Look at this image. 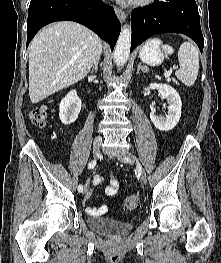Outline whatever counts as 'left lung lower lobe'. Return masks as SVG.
Wrapping results in <instances>:
<instances>
[{
    "instance_id": "left-lung-lower-lobe-1",
    "label": "left lung lower lobe",
    "mask_w": 221,
    "mask_h": 263,
    "mask_svg": "<svg viewBox=\"0 0 221 263\" xmlns=\"http://www.w3.org/2000/svg\"><path fill=\"white\" fill-rule=\"evenodd\" d=\"M131 51L155 34L182 33L203 51V35L195 0H155L152 5L134 9L131 15Z\"/></svg>"
}]
</instances>
